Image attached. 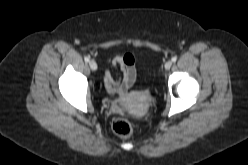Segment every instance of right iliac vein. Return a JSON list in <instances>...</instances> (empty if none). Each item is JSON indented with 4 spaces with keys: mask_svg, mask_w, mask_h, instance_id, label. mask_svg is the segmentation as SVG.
I'll list each match as a JSON object with an SVG mask.
<instances>
[{
    "mask_svg": "<svg viewBox=\"0 0 248 165\" xmlns=\"http://www.w3.org/2000/svg\"><path fill=\"white\" fill-rule=\"evenodd\" d=\"M89 66H90L91 70H93V71L97 70V64H96V62L94 60H91L89 62Z\"/></svg>",
    "mask_w": 248,
    "mask_h": 165,
    "instance_id": "1",
    "label": "right iliac vein"
}]
</instances>
